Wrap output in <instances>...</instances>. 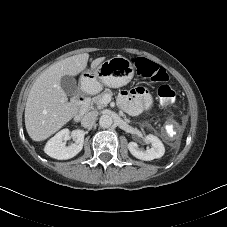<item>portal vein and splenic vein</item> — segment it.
<instances>
[{"label": "portal vein and splenic vein", "instance_id": "obj_1", "mask_svg": "<svg viewBox=\"0 0 227 227\" xmlns=\"http://www.w3.org/2000/svg\"><path fill=\"white\" fill-rule=\"evenodd\" d=\"M103 101L107 104L111 101V96L110 95H106L103 99Z\"/></svg>", "mask_w": 227, "mask_h": 227}]
</instances>
